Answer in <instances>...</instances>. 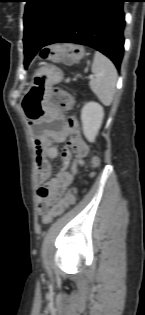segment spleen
<instances>
[{
  "mask_svg": "<svg viewBox=\"0 0 145 315\" xmlns=\"http://www.w3.org/2000/svg\"><path fill=\"white\" fill-rule=\"evenodd\" d=\"M91 69L95 78L90 81V88L104 105L109 106L116 92L117 70L113 63L99 52H95Z\"/></svg>",
  "mask_w": 145,
  "mask_h": 315,
  "instance_id": "spleen-1",
  "label": "spleen"
}]
</instances>
